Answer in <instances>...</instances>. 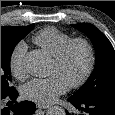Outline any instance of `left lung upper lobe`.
Returning a JSON list of instances; mask_svg holds the SVG:
<instances>
[{
  "label": "left lung upper lobe",
  "mask_w": 115,
  "mask_h": 115,
  "mask_svg": "<svg viewBox=\"0 0 115 115\" xmlns=\"http://www.w3.org/2000/svg\"><path fill=\"white\" fill-rule=\"evenodd\" d=\"M72 26L90 38L95 48V67L85 84L70 98L77 102L115 100V51L112 44L94 25L82 23Z\"/></svg>",
  "instance_id": "obj_1"
}]
</instances>
